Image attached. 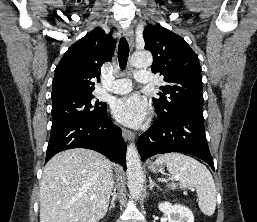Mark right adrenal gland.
I'll use <instances>...</instances> for the list:
<instances>
[{
  "label": "right adrenal gland",
  "instance_id": "obj_1",
  "mask_svg": "<svg viewBox=\"0 0 257 222\" xmlns=\"http://www.w3.org/2000/svg\"><path fill=\"white\" fill-rule=\"evenodd\" d=\"M116 198H117V194H116V188H115L114 191H113V196H112V199H111V204H110L109 210H111L112 208L115 207Z\"/></svg>",
  "mask_w": 257,
  "mask_h": 222
}]
</instances>
